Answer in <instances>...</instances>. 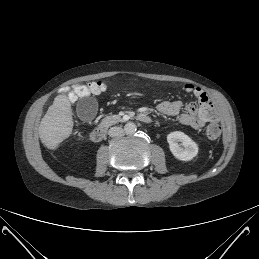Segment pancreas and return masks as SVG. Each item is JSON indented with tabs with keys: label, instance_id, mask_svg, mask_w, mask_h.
I'll return each mask as SVG.
<instances>
[{
	"label": "pancreas",
	"instance_id": "obj_1",
	"mask_svg": "<svg viewBox=\"0 0 259 259\" xmlns=\"http://www.w3.org/2000/svg\"><path fill=\"white\" fill-rule=\"evenodd\" d=\"M122 119L120 116L113 115V116H106L101 120L100 125L104 127H109L113 124H116L118 122H121Z\"/></svg>",
	"mask_w": 259,
	"mask_h": 259
}]
</instances>
